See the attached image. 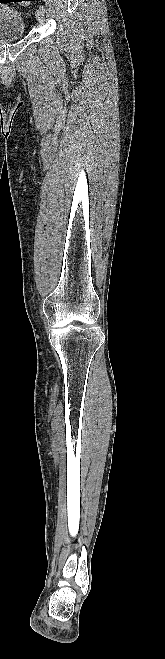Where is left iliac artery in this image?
Instances as JSON below:
<instances>
[{
    "mask_svg": "<svg viewBox=\"0 0 165 659\" xmlns=\"http://www.w3.org/2000/svg\"><path fill=\"white\" fill-rule=\"evenodd\" d=\"M39 9L43 10L44 12H45V10H46L44 5H40V6H39Z\"/></svg>",
    "mask_w": 165,
    "mask_h": 659,
    "instance_id": "left-iliac-artery-1",
    "label": "left iliac artery"
}]
</instances>
